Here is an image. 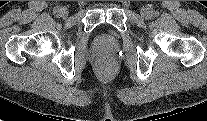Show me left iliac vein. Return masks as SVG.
Wrapping results in <instances>:
<instances>
[{
	"label": "left iliac vein",
	"instance_id": "left-iliac-vein-1",
	"mask_svg": "<svg viewBox=\"0 0 207 121\" xmlns=\"http://www.w3.org/2000/svg\"><path fill=\"white\" fill-rule=\"evenodd\" d=\"M140 13H141L142 17H148L150 15V12H149L148 8H146V7H143L141 9Z\"/></svg>",
	"mask_w": 207,
	"mask_h": 121
}]
</instances>
